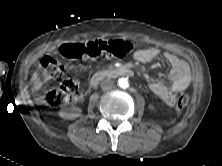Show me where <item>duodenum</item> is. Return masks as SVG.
Instances as JSON below:
<instances>
[{
	"mask_svg": "<svg viewBox=\"0 0 222 166\" xmlns=\"http://www.w3.org/2000/svg\"><path fill=\"white\" fill-rule=\"evenodd\" d=\"M132 70L126 67H118L108 71H100L95 73L90 79V86L96 87L105 77L108 76H131Z\"/></svg>",
	"mask_w": 222,
	"mask_h": 166,
	"instance_id": "obj_1",
	"label": "duodenum"
}]
</instances>
